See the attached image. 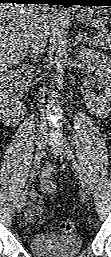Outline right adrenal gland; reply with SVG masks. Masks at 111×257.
<instances>
[{
  "mask_svg": "<svg viewBox=\"0 0 111 257\" xmlns=\"http://www.w3.org/2000/svg\"><path fill=\"white\" fill-rule=\"evenodd\" d=\"M29 58H32L34 62H36V56L33 53H30V55L28 56Z\"/></svg>",
  "mask_w": 111,
  "mask_h": 257,
  "instance_id": "2a0ac1e0",
  "label": "right adrenal gland"
}]
</instances>
